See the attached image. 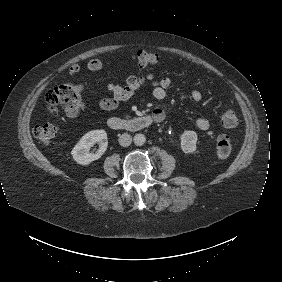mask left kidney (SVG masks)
<instances>
[{
    "label": "left kidney",
    "mask_w": 282,
    "mask_h": 282,
    "mask_svg": "<svg viewBox=\"0 0 282 282\" xmlns=\"http://www.w3.org/2000/svg\"><path fill=\"white\" fill-rule=\"evenodd\" d=\"M181 149L184 153H193L196 151L197 134L194 131H184L180 136Z\"/></svg>",
    "instance_id": "left-kidney-1"
}]
</instances>
